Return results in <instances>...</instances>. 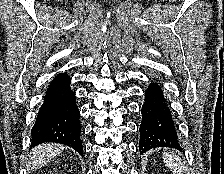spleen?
I'll return each mask as SVG.
<instances>
[{
    "instance_id": "1",
    "label": "spleen",
    "mask_w": 224,
    "mask_h": 174,
    "mask_svg": "<svg viewBox=\"0 0 224 174\" xmlns=\"http://www.w3.org/2000/svg\"><path fill=\"white\" fill-rule=\"evenodd\" d=\"M163 160L166 166L173 172V174H181V159L178 156L169 152H164Z\"/></svg>"
}]
</instances>
